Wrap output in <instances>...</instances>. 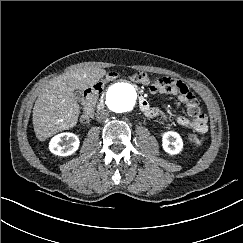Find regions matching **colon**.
<instances>
[{"label": "colon", "instance_id": "1", "mask_svg": "<svg viewBox=\"0 0 243 243\" xmlns=\"http://www.w3.org/2000/svg\"><path fill=\"white\" fill-rule=\"evenodd\" d=\"M116 77H117V74L114 73V72H111V73L107 74L106 80H113ZM131 80L136 82V83H141V84L150 85V86L162 83L161 78L151 82L148 75L144 72L134 73L131 76ZM103 86H104V81H100V82L96 83L95 85L91 86L90 88H88L84 92V95H83V110H82V114H81V119L83 121H87V120L90 119V117L92 115L93 107L95 105V102H96L98 96L102 92ZM188 140L192 144L198 145V143L200 142L201 139L198 135L190 134L188 136Z\"/></svg>", "mask_w": 243, "mask_h": 243}]
</instances>
